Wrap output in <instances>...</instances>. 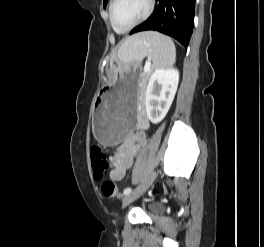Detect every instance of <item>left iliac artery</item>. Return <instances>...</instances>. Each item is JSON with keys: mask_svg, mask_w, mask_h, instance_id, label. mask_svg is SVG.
I'll return each instance as SVG.
<instances>
[{"mask_svg": "<svg viewBox=\"0 0 264 247\" xmlns=\"http://www.w3.org/2000/svg\"><path fill=\"white\" fill-rule=\"evenodd\" d=\"M131 191H132V188H126V189L124 190V194L127 195V194H129Z\"/></svg>", "mask_w": 264, "mask_h": 247, "instance_id": "obj_1", "label": "left iliac artery"}]
</instances>
